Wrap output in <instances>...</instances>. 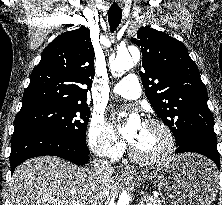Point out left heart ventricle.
I'll return each instance as SVG.
<instances>
[{"mask_svg": "<svg viewBox=\"0 0 222 205\" xmlns=\"http://www.w3.org/2000/svg\"><path fill=\"white\" fill-rule=\"evenodd\" d=\"M166 137L163 131L152 124L144 123L136 141L132 144L136 152L144 157L154 156L163 151Z\"/></svg>", "mask_w": 222, "mask_h": 205, "instance_id": "1", "label": "left heart ventricle"}]
</instances>
